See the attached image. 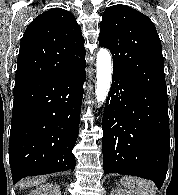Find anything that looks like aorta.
Instances as JSON below:
<instances>
[{
	"instance_id": "762f6f07",
	"label": "aorta",
	"mask_w": 178,
	"mask_h": 195,
	"mask_svg": "<svg viewBox=\"0 0 178 195\" xmlns=\"http://www.w3.org/2000/svg\"><path fill=\"white\" fill-rule=\"evenodd\" d=\"M111 79V55L107 49L101 48L97 52L96 99L98 102L106 100L111 86Z\"/></svg>"
}]
</instances>
